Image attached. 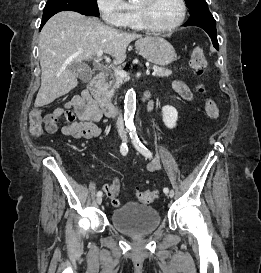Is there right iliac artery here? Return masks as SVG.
Masks as SVG:
<instances>
[{
	"instance_id": "1",
	"label": "right iliac artery",
	"mask_w": 261,
	"mask_h": 273,
	"mask_svg": "<svg viewBox=\"0 0 261 273\" xmlns=\"http://www.w3.org/2000/svg\"><path fill=\"white\" fill-rule=\"evenodd\" d=\"M120 152L123 156H125L128 153V146L126 144V142H123L120 146ZM97 196H102V191H98L97 192Z\"/></svg>"
}]
</instances>
